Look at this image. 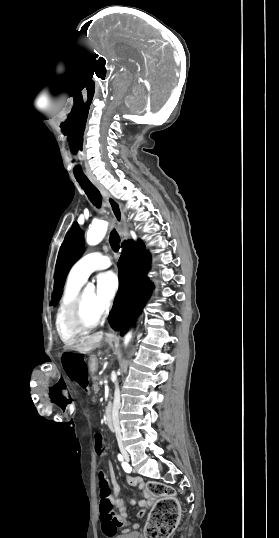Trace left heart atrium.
Masks as SVG:
<instances>
[{
    "label": "left heart atrium",
    "instance_id": "left-heart-atrium-1",
    "mask_svg": "<svg viewBox=\"0 0 279 538\" xmlns=\"http://www.w3.org/2000/svg\"><path fill=\"white\" fill-rule=\"evenodd\" d=\"M118 289L119 278L116 272L110 270L98 275L97 300L103 312L112 304Z\"/></svg>",
    "mask_w": 279,
    "mask_h": 538
}]
</instances>
